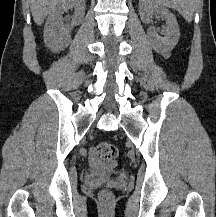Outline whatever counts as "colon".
<instances>
[{"mask_svg": "<svg viewBox=\"0 0 216 217\" xmlns=\"http://www.w3.org/2000/svg\"><path fill=\"white\" fill-rule=\"evenodd\" d=\"M97 159L105 166L114 168L118 163L119 151L114 143L110 141H100L95 146ZM99 200L102 204L108 205L113 200L111 191L104 189L99 193Z\"/></svg>", "mask_w": 216, "mask_h": 217, "instance_id": "obj_1", "label": "colon"}]
</instances>
